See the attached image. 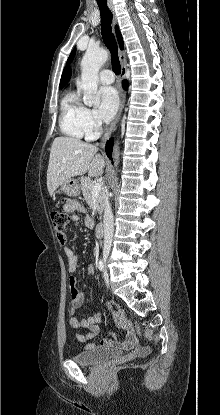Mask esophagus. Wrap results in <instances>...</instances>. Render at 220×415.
<instances>
[{"label": "esophagus", "instance_id": "34e87169", "mask_svg": "<svg viewBox=\"0 0 220 415\" xmlns=\"http://www.w3.org/2000/svg\"><path fill=\"white\" fill-rule=\"evenodd\" d=\"M108 7L111 10L112 14H113V24L116 23V16H115V11H114V7L111 3H108ZM118 54H119V61L121 64V78L123 79L125 76V71H126V55L125 52L121 49L118 50ZM119 94H120V104H119V108H118V112L113 120V122L111 123L110 127L108 128V130L106 131L103 141H102V147L104 146L105 141L109 138V136L111 135V133L116 129V126L121 118V114L124 108V103H125V93L122 89V87L120 86L119 88Z\"/></svg>", "mask_w": 220, "mask_h": 415}]
</instances>
